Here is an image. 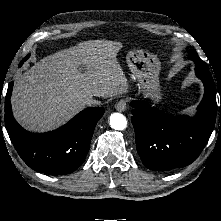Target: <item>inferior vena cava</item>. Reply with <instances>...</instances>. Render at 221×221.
Here are the masks:
<instances>
[{
	"label": "inferior vena cava",
	"instance_id": "602c4592",
	"mask_svg": "<svg viewBox=\"0 0 221 221\" xmlns=\"http://www.w3.org/2000/svg\"><path fill=\"white\" fill-rule=\"evenodd\" d=\"M85 103L90 105V104H99L100 102L95 100L93 97H87L85 99Z\"/></svg>",
	"mask_w": 221,
	"mask_h": 221
}]
</instances>
